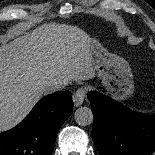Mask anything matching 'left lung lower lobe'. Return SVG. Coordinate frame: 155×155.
Listing matches in <instances>:
<instances>
[{"instance_id":"obj_1","label":"left lung lower lobe","mask_w":155,"mask_h":155,"mask_svg":"<svg viewBox=\"0 0 155 155\" xmlns=\"http://www.w3.org/2000/svg\"><path fill=\"white\" fill-rule=\"evenodd\" d=\"M87 97L94 117L91 135L101 155H149L155 151V114L133 112L95 91Z\"/></svg>"}]
</instances>
